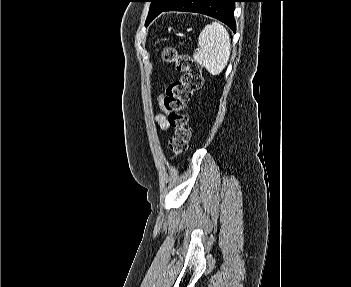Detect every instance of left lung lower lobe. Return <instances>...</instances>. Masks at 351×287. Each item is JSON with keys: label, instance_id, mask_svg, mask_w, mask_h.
<instances>
[{"label": "left lung lower lobe", "instance_id": "left-lung-lower-lobe-1", "mask_svg": "<svg viewBox=\"0 0 351 287\" xmlns=\"http://www.w3.org/2000/svg\"><path fill=\"white\" fill-rule=\"evenodd\" d=\"M234 2L237 0H173L156 16L165 11L202 13L222 21L235 32Z\"/></svg>", "mask_w": 351, "mask_h": 287}]
</instances>
